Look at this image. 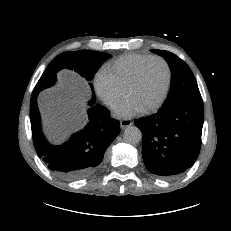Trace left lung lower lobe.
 I'll use <instances>...</instances> for the list:
<instances>
[{"mask_svg":"<svg viewBox=\"0 0 231 231\" xmlns=\"http://www.w3.org/2000/svg\"><path fill=\"white\" fill-rule=\"evenodd\" d=\"M204 122L201 97L182 99L168 109L135 121L141 130L142 157L147 170L172 178L196 161Z\"/></svg>","mask_w":231,"mask_h":231,"instance_id":"left-lung-lower-lobe-1","label":"left lung lower lobe"}]
</instances>
